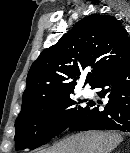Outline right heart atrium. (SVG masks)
<instances>
[{
	"mask_svg": "<svg viewBox=\"0 0 130 153\" xmlns=\"http://www.w3.org/2000/svg\"><path fill=\"white\" fill-rule=\"evenodd\" d=\"M63 120H64V119H63V116H62V115H58V116L56 117V122L59 123V124L62 123Z\"/></svg>",
	"mask_w": 130,
	"mask_h": 153,
	"instance_id": "d8ad5b80",
	"label": "right heart atrium"
}]
</instances>
